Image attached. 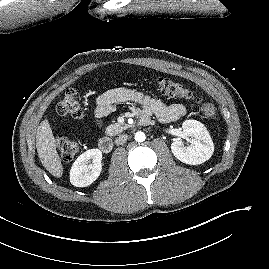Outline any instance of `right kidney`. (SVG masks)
<instances>
[{
  "instance_id": "1",
  "label": "right kidney",
  "mask_w": 269,
  "mask_h": 269,
  "mask_svg": "<svg viewBox=\"0 0 269 269\" xmlns=\"http://www.w3.org/2000/svg\"><path fill=\"white\" fill-rule=\"evenodd\" d=\"M101 161L102 152L99 149H89L78 156L70 170L71 184L76 187L91 185L102 171Z\"/></svg>"
}]
</instances>
